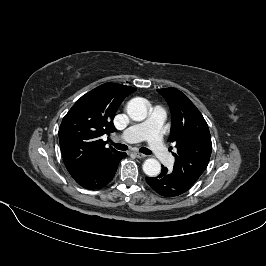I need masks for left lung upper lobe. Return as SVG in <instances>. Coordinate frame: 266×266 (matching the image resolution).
Instances as JSON below:
<instances>
[{
	"instance_id": "obj_1",
	"label": "left lung upper lobe",
	"mask_w": 266,
	"mask_h": 266,
	"mask_svg": "<svg viewBox=\"0 0 266 266\" xmlns=\"http://www.w3.org/2000/svg\"><path fill=\"white\" fill-rule=\"evenodd\" d=\"M172 113L169 141L176 143L175 164L170 172L192 186L207 168L212 142L208 125L189 98L176 88L158 89Z\"/></svg>"
}]
</instances>
